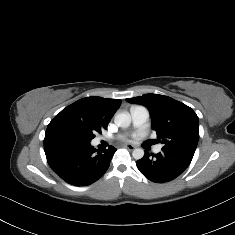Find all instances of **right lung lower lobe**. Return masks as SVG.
Listing matches in <instances>:
<instances>
[{
    "label": "right lung lower lobe",
    "instance_id": "right-lung-lower-lobe-1",
    "mask_svg": "<svg viewBox=\"0 0 235 235\" xmlns=\"http://www.w3.org/2000/svg\"><path fill=\"white\" fill-rule=\"evenodd\" d=\"M44 150L49 166L60 178L71 185L87 186L107 171L116 148L96 150L90 142L59 131L45 135Z\"/></svg>",
    "mask_w": 235,
    "mask_h": 235
}]
</instances>
